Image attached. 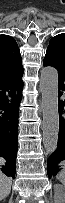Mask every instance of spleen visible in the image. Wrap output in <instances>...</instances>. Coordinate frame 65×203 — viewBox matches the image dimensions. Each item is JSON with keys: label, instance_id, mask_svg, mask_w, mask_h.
Here are the masks:
<instances>
[{"label": "spleen", "instance_id": "1", "mask_svg": "<svg viewBox=\"0 0 65 203\" xmlns=\"http://www.w3.org/2000/svg\"><path fill=\"white\" fill-rule=\"evenodd\" d=\"M57 179L64 184L65 183V170H61L57 176Z\"/></svg>", "mask_w": 65, "mask_h": 203}]
</instances>
